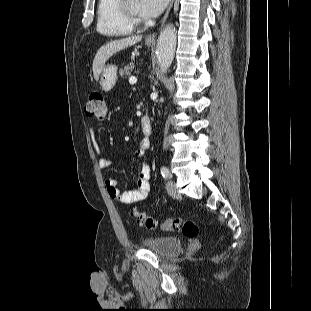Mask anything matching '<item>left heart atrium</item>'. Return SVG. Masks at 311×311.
<instances>
[{
	"instance_id": "1",
	"label": "left heart atrium",
	"mask_w": 311,
	"mask_h": 311,
	"mask_svg": "<svg viewBox=\"0 0 311 311\" xmlns=\"http://www.w3.org/2000/svg\"><path fill=\"white\" fill-rule=\"evenodd\" d=\"M169 0H141L140 14L146 18L158 16L168 5Z\"/></svg>"
}]
</instances>
